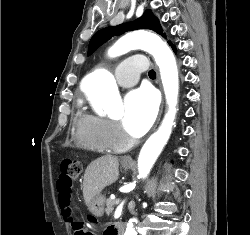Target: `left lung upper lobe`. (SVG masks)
Here are the masks:
<instances>
[{
	"instance_id": "obj_1",
	"label": "left lung upper lobe",
	"mask_w": 250,
	"mask_h": 235,
	"mask_svg": "<svg viewBox=\"0 0 250 235\" xmlns=\"http://www.w3.org/2000/svg\"><path fill=\"white\" fill-rule=\"evenodd\" d=\"M136 29H150L157 32L158 34L163 33L158 19L152 14L150 10H146L144 14L134 22L121 24L116 27H107L96 32L90 40L88 48L89 53H92L112 36L120 35L126 31Z\"/></svg>"
}]
</instances>
